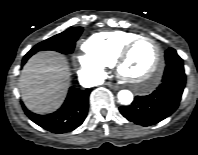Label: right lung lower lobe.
I'll list each match as a JSON object with an SVG mask.
<instances>
[{"mask_svg": "<svg viewBox=\"0 0 198 155\" xmlns=\"http://www.w3.org/2000/svg\"><path fill=\"white\" fill-rule=\"evenodd\" d=\"M28 58L24 57L25 64ZM91 89L79 90L71 87L62 107L49 115H38L23 108L26 115L40 127L52 133H66L80 126L88 111V98Z\"/></svg>", "mask_w": 198, "mask_h": 155, "instance_id": "1", "label": "right lung lower lobe"}]
</instances>
